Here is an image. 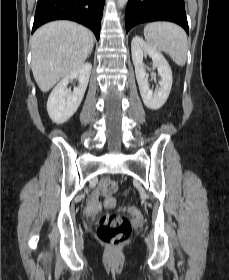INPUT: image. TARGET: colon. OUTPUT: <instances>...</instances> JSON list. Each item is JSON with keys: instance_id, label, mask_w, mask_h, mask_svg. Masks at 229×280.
Returning a JSON list of instances; mask_svg holds the SVG:
<instances>
[{"instance_id": "1", "label": "colon", "mask_w": 229, "mask_h": 280, "mask_svg": "<svg viewBox=\"0 0 229 280\" xmlns=\"http://www.w3.org/2000/svg\"><path fill=\"white\" fill-rule=\"evenodd\" d=\"M104 193L110 194L117 189V184L111 179H104L101 182ZM136 216L140 215V210L132 209ZM131 225L127 218L121 215L100 214L97 217V236L99 240L109 246H119L129 238Z\"/></svg>"}]
</instances>
